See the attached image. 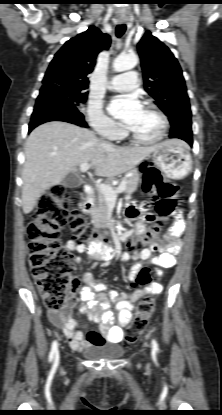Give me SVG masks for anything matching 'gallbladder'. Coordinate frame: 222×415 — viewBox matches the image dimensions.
<instances>
[{
    "label": "gallbladder",
    "mask_w": 222,
    "mask_h": 415,
    "mask_svg": "<svg viewBox=\"0 0 222 415\" xmlns=\"http://www.w3.org/2000/svg\"><path fill=\"white\" fill-rule=\"evenodd\" d=\"M62 184L69 188H77L82 184V180L74 173H68Z\"/></svg>",
    "instance_id": "bac80fb5"
}]
</instances>
